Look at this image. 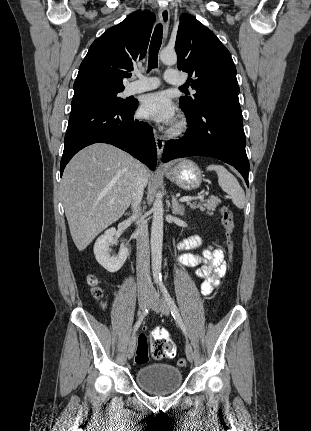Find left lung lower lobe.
I'll return each mask as SVG.
<instances>
[{
    "instance_id": "1",
    "label": "left lung lower lobe",
    "mask_w": 311,
    "mask_h": 431,
    "mask_svg": "<svg viewBox=\"0 0 311 431\" xmlns=\"http://www.w3.org/2000/svg\"><path fill=\"white\" fill-rule=\"evenodd\" d=\"M186 119L190 124L186 136L166 143L162 161L196 155L214 157L234 166L249 186V162L239 102H216L195 114H186Z\"/></svg>"
}]
</instances>
